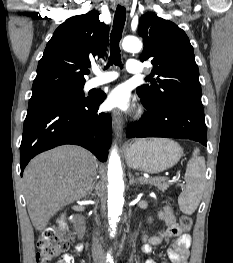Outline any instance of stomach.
<instances>
[{"instance_id": "stomach-1", "label": "stomach", "mask_w": 233, "mask_h": 263, "mask_svg": "<svg viewBox=\"0 0 233 263\" xmlns=\"http://www.w3.org/2000/svg\"><path fill=\"white\" fill-rule=\"evenodd\" d=\"M182 154L178 143L164 138L138 139L125 151L129 167L148 173H159L171 168Z\"/></svg>"}]
</instances>
